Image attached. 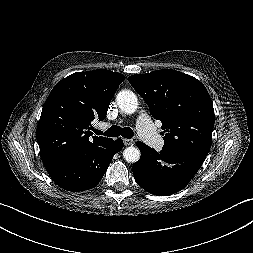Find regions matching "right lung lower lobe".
<instances>
[{
    "mask_svg": "<svg viewBox=\"0 0 253 253\" xmlns=\"http://www.w3.org/2000/svg\"><path fill=\"white\" fill-rule=\"evenodd\" d=\"M123 146L121 139L111 140L87 154L50 163L46 170L52 180L67 191L88 190L98 185L114 154Z\"/></svg>",
    "mask_w": 253,
    "mask_h": 253,
    "instance_id": "right-lung-lower-lobe-1",
    "label": "right lung lower lobe"
}]
</instances>
